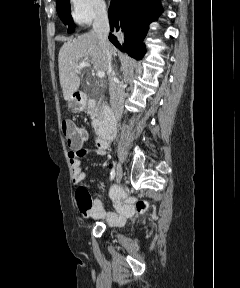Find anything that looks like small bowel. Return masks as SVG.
Returning a JSON list of instances; mask_svg holds the SVG:
<instances>
[{
	"label": "small bowel",
	"mask_w": 240,
	"mask_h": 288,
	"mask_svg": "<svg viewBox=\"0 0 240 288\" xmlns=\"http://www.w3.org/2000/svg\"><path fill=\"white\" fill-rule=\"evenodd\" d=\"M106 149L107 148L100 147L98 143L86 148L82 147V145L70 146L68 157L73 183L78 184L84 178L80 159L91 153L104 156L106 155ZM112 198L113 206L116 211L106 212L101 200L92 199L84 186L80 185L76 190L78 209L85 217L95 219L106 218L113 225H121L125 222L126 218L134 212V207L131 202L126 199L122 189H114L112 191Z\"/></svg>",
	"instance_id": "small-bowel-1"
}]
</instances>
